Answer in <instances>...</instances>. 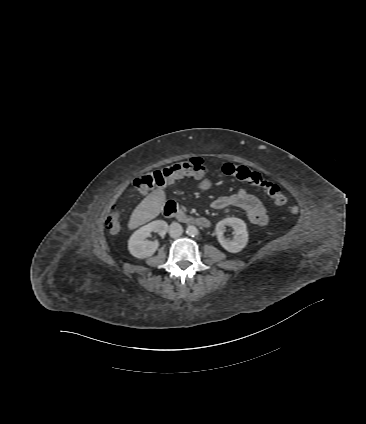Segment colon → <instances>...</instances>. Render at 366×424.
<instances>
[{"label": "colon", "mask_w": 366, "mask_h": 424, "mask_svg": "<svg viewBox=\"0 0 366 424\" xmlns=\"http://www.w3.org/2000/svg\"><path fill=\"white\" fill-rule=\"evenodd\" d=\"M204 170L203 160L199 157H191L140 175L134 180L133 188L135 191H143L154 186H164L179 178L199 177L204 173ZM221 173L227 177L260 188L276 205H284L287 202L286 196L278 185L264 179L260 173L245 165L225 163L221 166ZM287 210L292 217L298 214V207L296 205H289ZM120 221V213L114 209L106 219L107 229L111 232H117L120 228Z\"/></svg>", "instance_id": "5ec220e1"}]
</instances>
